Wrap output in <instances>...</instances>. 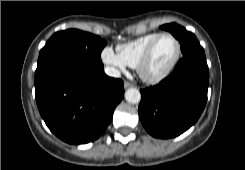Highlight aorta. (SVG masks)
I'll return each instance as SVG.
<instances>
[{"label": "aorta", "instance_id": "obj_1", "mask_svg": "<svg viewBox=\"0 0 245 170\" xmlns=\"http://www.w3.org/2000/svg\"><path fill=\"white\" fill-rule=\"evenodd\" d=\"M125 99L127 102L136 104L139 103L141 100L140 91L136 88H129L125 92Z\"/></svg>", "mask_w": 245, "mask_h": 170}]
</instances>
